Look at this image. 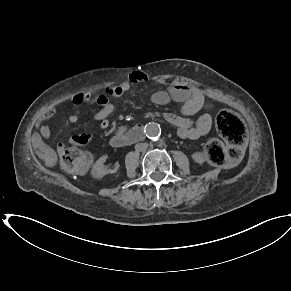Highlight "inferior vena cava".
<instances>
[{
	"label": "inferior vena cava",
	"instance_id": "602c4592",
	"mask_svg": "<svg viewBox=\"0 0 291 291\" xmlns=\"http://www.w3.org/2000/svg\"><path fill=\"white\" fill-rule=\"evenodd\" d=\"M148 148L147 143H138L135 145L136 151H145Z\"/></svg>",
	"mask_w": 291,
	"mask_h": 291
}]
</instances>
